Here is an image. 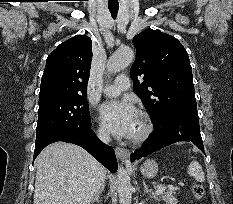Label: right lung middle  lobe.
<instances>
[{"label":"right lung middle lobe","mask_w":233,"mask_h":204,"mask_svg":"<svg viewBox=\"0 0 233 204\" xmlns=\"http://www.w3.org/2000/svg\"><path fill=\"white\" fill-rule=\"evenodd\" d=\"M88 127H91V121L86 96L39 101L35 143L66 131Z\"/></svg>","instance_id":"right-lung-middle-lobe-1"}]
</instances>
